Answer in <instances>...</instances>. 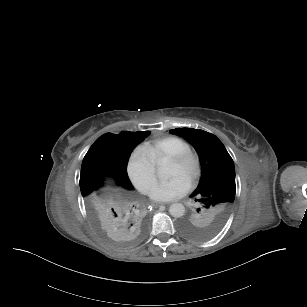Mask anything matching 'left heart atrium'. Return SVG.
<instances>
[{
    "label": "left heart atrium",
    "instance_id": "1",
    "mask_svg": "<svg viewBox=\"0 0 307 307\" xmlns=\"http://www.w3.org/2000/svg\"><path fill=\"white\" fill-rule=\"evenodd\" d=\"M189 189V182L182 176H172L168 180H157L148 188L149 197L157 202H168L183 196Z\"/></svg>",
    "mask_w": 307,
    "mask_h": 307
}]
</instances>
